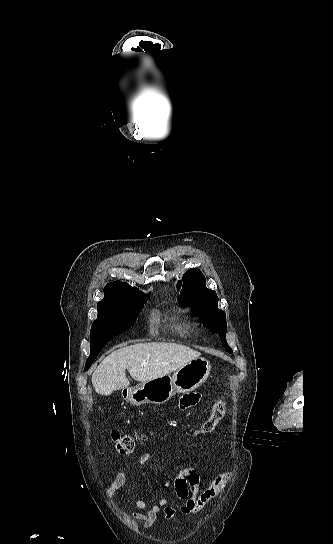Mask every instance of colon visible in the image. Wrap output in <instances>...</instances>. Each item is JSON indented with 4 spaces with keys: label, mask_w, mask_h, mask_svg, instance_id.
Returning a JSON list of instances; mask_svg holds the SVG:
<instances>
[{
    "label": "colon",
    "mask_w": 333,
    "mask_h": 544,
    "mask_svg": "<svg viewBox=\"0 0 333 544\" xmlns=\"http://www.w3.org/2000/svg\"><path fill=\"white\" fill-rule=\"evenodd\" d=\"M226 403L224 401L217 402L211 409L208 417L201 425L199 432H211L214 427L223 419L226 412ZM111 438L115 444L116 451L121 455H128L135 449L138 438L131 434H122L119 430H113Z\"/></svg>",
    "instance_id": "colon-1"
}]
</instances>
